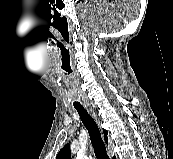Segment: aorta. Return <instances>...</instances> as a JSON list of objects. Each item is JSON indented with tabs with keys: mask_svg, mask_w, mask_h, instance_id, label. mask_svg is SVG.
I'll use <instances>...</instances> for the list:
<instances>
[{
	"mask_svg": "<svg viewBox=\"0 0 173 159\" xmlns=\"http://www.w3.org/2000/svg\"><path fill=\"white\" fill-rule=\"evenodd\" d=\"M76 159H87V158L83 152H78Z\"/></svg>",
	"mask_w": 173,
	"mask_h": 159,
	"instance_id": "762f6f07",
	"label": "aorta"
}]
</instances>
